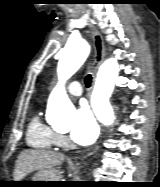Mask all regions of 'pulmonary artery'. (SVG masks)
I'll use <instances>...</instances> for the list:
<instances>
[{
  "mask_svg": "<svg viewBox=\"0 0 160 187\" xmlns=\"http://www.w3.org/2000/svg\"><path fill=\"white\" fill-rule=\"evenodd\" d=\"M68 92L75 97L81 96L83 93L81 84L77 81L71 82L68 86Z\"/></svg>",
  "mask_w": 160,
  "mask_h": 187,
  "instance_id": "obj_1",
  "label": "pulmonary artery"
}]
</instances>
